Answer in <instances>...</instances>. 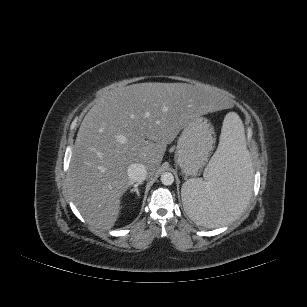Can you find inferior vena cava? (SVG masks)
I'll return each mask as SVG.
<instances>
[{
	"mask_svg": "<svg viewBox=\"0 0 307 307\" xmlns=\"http://www.w3.org/2000/svg\"><path fill=\"white\" fill-rule=\"evenodd\" d=\"M128 177L131 182H143L147 177V170L143 164L133 163L128 167Z\"/></svg>",
	"mask_w": 307,
	"mask_h": 307,
	"instance_id": "1",
	"label": "inferior vena cava"
}]
</instances>
